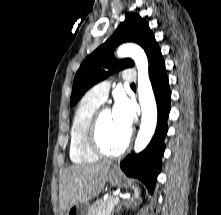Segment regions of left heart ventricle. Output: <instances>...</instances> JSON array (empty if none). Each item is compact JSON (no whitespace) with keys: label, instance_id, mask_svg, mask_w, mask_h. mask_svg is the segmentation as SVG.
Wrapping results in <instances>:
<instances>
[{"label":"left heart ventricle","instance_id":"b2bd125f","mask_svg":"<svg viewBox=\"0 0 221 215\" xmlns=\"http://www.w3.org/2000/svg\"><path fill=\"white\" fill-rule=\"evenodd\" d=\"M128 137L129 135L117 126L112 111L105 112L100 122V140L103 147L110 152L118 151L124 146Z\"/></svg>","mask_w":221,"mask_h":215}]
</instances>
